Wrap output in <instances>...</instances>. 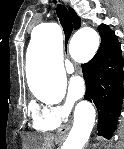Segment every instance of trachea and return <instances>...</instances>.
Listing matches in <instances>:
<instances>
[{
  "label": "trachea",
  "mask_w": 124,
  "mask_h": 149,
  "mask_svg": "<svg viewBox=\"0 0 124 149\" xmlns=\"http://www.w3.org/2000/svg\"><path fill=\"white\" fill-rule=\"evenodd\" d=\"M55 2V1H54ZM56 3V2H55ZM56 14L62 25L66 39H68L72 33V21L67 8L64 5L58 4L56 7Z\"/></svg>",
  "instance_id": "trachea-1"
}]
</instances>
